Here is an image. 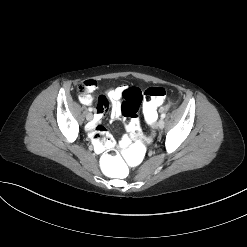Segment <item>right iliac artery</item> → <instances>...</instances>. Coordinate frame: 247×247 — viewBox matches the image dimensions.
I'll list each match as a JSON object with an SVG mask.
<instances>
[{
	"label": "right iliac artery",
	"mask_w": 247,
	"mask_h": 247,
	"mask_svg": "<svg viewBox=\"0 0 247 247\" xmlns=\"http://www.w3.org/2000/svg\"><path fill=\"white\" fill-rule=\"evenodd\" d=\"M88 111L92 112L93 111V108L89 107L88 108Z\"/></svg>",
	"instance_id": "obj_1"
}]
</instances>
